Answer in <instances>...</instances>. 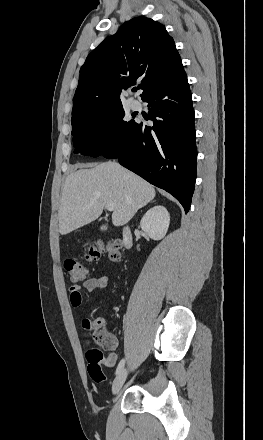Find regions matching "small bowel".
I'll list each match as a JSON object with an SVG mask.
<instances>
[{"instance_id": "obj_1", "label": "small bowel", "mask_w": 263, "mask_h": 440, "mask_svg": "<svg viewBox=\"0 0 263 440\" xmlns=\"http://www.w3.org/2000/svg\"><path fill=\"white\" fill-rule=\"evenodd\" d=\"M112 277L110 275H102L99 277L87 278L81 285L72 286L70 288V304L73 307H79L82 304V291L92 292L101 290L110 285ZM95 327H97L104 335L108 336L110 340L106 343L107 350H115L118 347V339L112 334L111 329H104L105 320L103 318H96L93 320Z\"/></svg>"}]
</instances>
